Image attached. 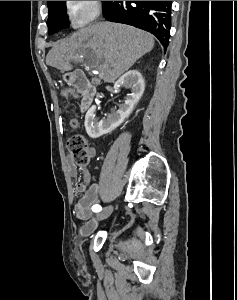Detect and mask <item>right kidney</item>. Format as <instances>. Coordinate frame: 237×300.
Returning a JSON list of instances; mask_svg holds the SVG:
<instances>
[{"instance_id": "1", "label": "right kidney", "mask_w": 237, "mask_h": 300, "mask_svg": "<svg viewBox=\"0 0 237 300\" xmlns=\"http://www.w3.org/2000/svg\"><path fill=\"white\" fill-rule=\"evenodd\" d=\"M121 87L130 89L131 93L125 97V101L119 105V109L112 111V113L104 117L102 121H98L96 117V105L88 109L85 115L84 127L87 135H89L91 139H98V137H102V135L111 133V131H114L116 127H119V125L123 123L124 119L129 117L144 93L145 85L141 73H139V71H128V73L122 75V77L116 81L114 89L118 91Z\"/></svg>"}]
</instances>
